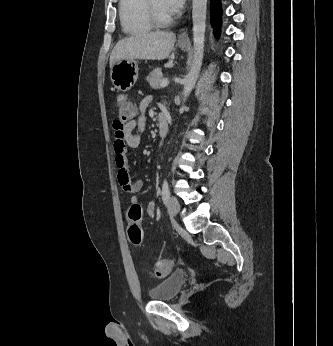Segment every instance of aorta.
Masks as SVG:
<instances>
[{"label":"aorta","instance_id":"aorta-1","mask_svg":"<svg viewBox=\"0 0 333 346\" xmlns=\"http://www.w3.org/2000/svg\"><path fill=\"white\" fill-rule=\"evenodd\" d=\"M207 0H193L192 19H193V62L191 69L186 76L183 96L184 101L191 93L197 81L204 55L205 27H206ZM185 105L180 108V113L185 110Z\"/></svg>","mask_w":333,"mask_h":346}]
</instances>
